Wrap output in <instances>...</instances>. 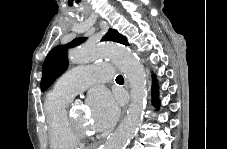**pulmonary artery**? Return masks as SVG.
<instances>
[{
    "mask_svg": "<svg viewBox=\"0 0 227 149\" xmlns=\"http://www.w3.org/2000/svg\"><path fill=\"white\" fill-rule=\"evenodd\" d=\"M112 72L113 66L109 63L77 66L58 79L54 90L73 98L91 84L109 82Z\"/></svg>",
    "mask_w": 227,
    "mask_h": 149,
    "instance_id": "1",
    "label": "pulmonary artery"
}]
</instances>
